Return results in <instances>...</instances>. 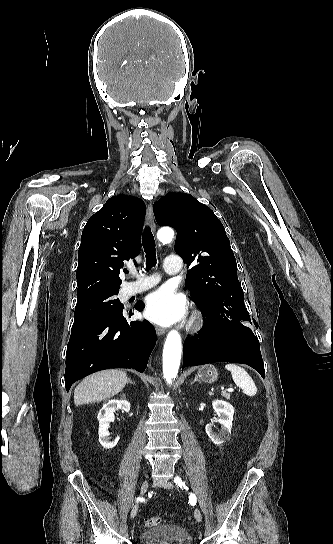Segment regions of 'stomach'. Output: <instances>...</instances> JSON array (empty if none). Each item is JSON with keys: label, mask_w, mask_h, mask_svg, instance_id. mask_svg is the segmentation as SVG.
<instances>
[{"label": "stomach", "mask_w": 333, "mask_h": 544, "mask_svg": "<svg viewBox=\"0 0 333 544\" xmlns=\"http://www.w3.org/2000/svg\"><path fill=\"white\" fill-rule=\"evenodd\" d=\"M198 376L202 381L206 383H212L217 380L218 372L213 365L209 364L200 367V369L198 370Z\"/></svg>", "instance_id": "stomach-1"}]
</instances>
